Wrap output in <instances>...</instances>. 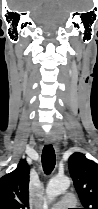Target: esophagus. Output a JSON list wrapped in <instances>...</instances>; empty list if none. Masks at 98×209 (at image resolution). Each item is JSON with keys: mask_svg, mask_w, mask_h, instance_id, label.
<instances>
[{"mask_svg": "<svg viewBox=\"0 0 98 209\" xmlns=\"http://www.w3.org/2000/svg\"><path fill=\"white\" fill-rule=\"evenodd\" d=\"M45 142H46V144H53L54 147H55L56 152H59L58 146L56 144H54L55 140H54V137H53L52 134H49V135L46 136Z\"/></svg>", "mask_w": 98, "mask_h": 209, "instance_id": "34e87169", "label": "esophagus"}]
</instances>
